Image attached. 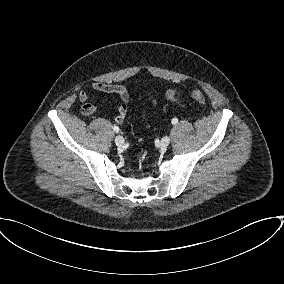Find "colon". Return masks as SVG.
<instances>
[{
	"instance_id": "1",
	"label": "colon",
	"mask_w": 284,
	"mask_h": 284,
	"mask_svg": "<svg viewBox=\"0 0 284 284\" xmlns=\"http://www.w3.org/2000/svg\"><path fill=\"white\" fill-rule=\"evenodd\" d=\"M191 95L198 103H200L202 105L205 104V102H206L205 97L200 91L192 90Z\"/></svg>"
}]
</instances>
